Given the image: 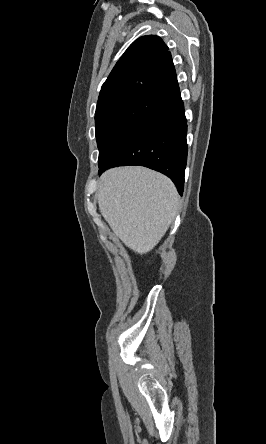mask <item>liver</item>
<instances>
[{
    "instance_id": "1",
    "label": "liver",
    "mask_w": 266,
    "mask_h": 444,
    "mask_svg": "<svg viewBox=\"0 0 266 444\" xmlns=\"http://www.w3.org/2000/svg\"><path fill=\"white\" fill-rule=\"evenodd\" d=\"M99 210L114 234L130 249L146 254L162 239L179 206L172 181L143 167H119L100 178Z\"/></svg>"
}]
</instances>
